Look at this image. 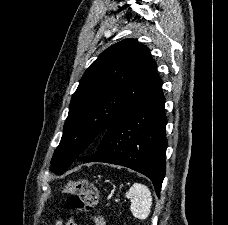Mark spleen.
Returning a JSON list of instances; mask_svg holds the SVG:
<instances>
[{"label": "spleen", "mask_w": 228, "mask_h": 225, "mask_svg": "<svg viewBox=\"0 0 228 225\" xmlns=\"http://www.w3.org/2000/svg\"><path fill=\"white\" fill-rule=\"evenodd\" d=\"M126 199H130V211L135 219H147L151 213L152 195L146 185L134 183L125 193Z\"/></svg>", "instance_id": "obj_1"}]
</instances>
